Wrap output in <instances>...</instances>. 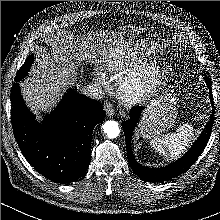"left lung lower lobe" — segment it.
Returning a JSON list of instances; mask_svg holds the SVG:
<instances>
[{
  "mask_svg": "<svg viewBox=\"0 0 220 220\" xmlns=\"http://www.w3.org/2000/svg\"><path fill=\"white\" fill-rule=\"evenodd\" d=\"M204 80L209 88V98L211 100V105L213 106V95L211 89V80L207 75H203ZM173 84V82H172ZM144 107H133L130 111V120L122 123V128L124 130L125 139H126V148L128 161L131 166V169L134 173L140 177L142 180L150 182H163L170 180L180 174L186 172L192 164L198 159V157L203 152L206 147L208 140L211 136L212 126L214 123V111L210 116V120L205 126L204 131L200 134L197 141L193 144L191 149L178 161L168 165L167 167L162 168H149L138 164L133 156L131 148V136L134 131L136 123L139 121L142 110Z\"/></svg>",
  "mask_w": 220,
  "mask_h": 220,
  "instance_id": "left-lung-lower-lobe-1",
  "label": "left lung lower lobe"
}]
</instances>
